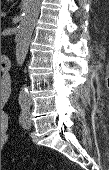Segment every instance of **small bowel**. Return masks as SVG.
<instances>
[{
    "label": "small bowel",
    "mask_w": 109,
    "mask_h": 170,
    "mask_svg": "<svg viewBox=\"0 0 109 170\" xmlns=\"http://www.w3.org/2000/svg\"><path fill=\"white\" fill-rule=\"evenodd\" d=\"M9 96V90L6 89L1 94V102L4 103ZM8 138V115L5 112H1V144H4Z\"/></svg>",
    "instance_id": "1"
}]
</instances>
